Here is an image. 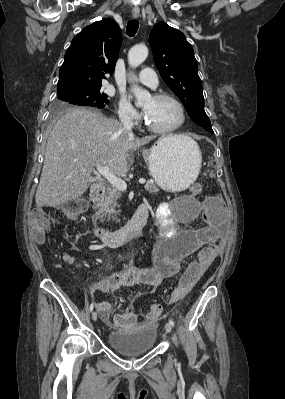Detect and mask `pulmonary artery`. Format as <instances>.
<instances>
[{"label":"pulmonary artery","instance_id":"pulmonary-artery-1","mask_svg":"<svg viewBox=\"0 0 285 399\" xmlns=\"http://www.w3.org/2000/svg\"><path fill=\"white\" fill-rule=\"evenodd\" d=\"M138 81L152 88H155L158 85V79L150 68H144L140 71Z\"/></svg>","mask_w":285,"mask_h":399}]
</instances>
